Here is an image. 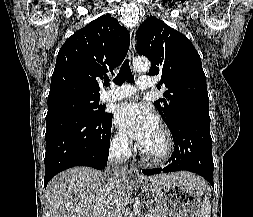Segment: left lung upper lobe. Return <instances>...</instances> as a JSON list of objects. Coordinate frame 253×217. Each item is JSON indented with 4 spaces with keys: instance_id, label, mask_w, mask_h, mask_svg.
<instances>
[{
    "instance_id": "5c2ea615",
    "label": "left lung upper lobe",
    "mask_w": 253,
    "mask_h": 217,
    "mask_svg": "<svg viewBox=\"0 0 253 217\" xmlns=\"http://www.w3.org/2000/svg\"><path fill=\"white\" fill-rule=\"evenodd\" d=\"M137 52L151 61L149 75H160L167 88L154 102L169 128L182 118L210 121L206 77L191 41L156 17H149L137 31Z\"/></svg>"
}]
</instances>
